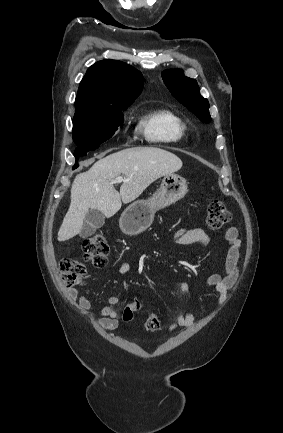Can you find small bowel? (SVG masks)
Segmentation results:
<instances>
[{
  "label": "small bowel",
  "instance_id": "obj_1",
  "mask_svg": "<svg viewBox=\"0 0 283 433\" xmlns=\"http://www.w3.org/2000/svg\"><path fill=\"white\" fill-rule=\"evenodd\" d=\"M224 238L228 244L226 254L224 271L222 274H214L207 278L206 283L214 287L217 294L218 304L223 305L227 299L228 291L233 287L239 276V256H240V240L238 238V231L235 227H229L224 233ZM172 241L178 245H192L200 244L207 246L210 242L209 235L202 229H186L180 228L172 235ZM131 267L128 263L124 262L120 265L119 272L123 275L130 273ZM182 290L185 293L191 292V287L188 283L182 284ZM71 296L77 301L78 305L84 309L89 310L91 303L89 299L80 295L76 289L71 290ZM120 301V296H111L108 304L101 307L99 311V325L105 330H113L118 326V313L115 305ZM195 317L191 312H180L175 317L174 321L170 324V330L177 328H188L194 324Z\"/></svg>",
  "mask_w": 283,
  "mask_h": 433
}]
</instances>
